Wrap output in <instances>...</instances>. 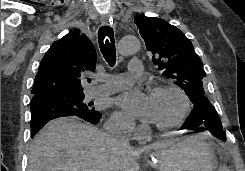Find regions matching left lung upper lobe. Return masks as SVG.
<instances>
[{
	"instance_id": "obj_1",
	"label": "left lung upper lobe",
	"mask_w": 245,
	"mask_h": 171,
	"mask_svg": "<svg viewBox=\"0 0 245 171\" xmlns=\"http://www.w3.org/2000/svg\"><path fill=\"white\" fill-rule=\"evenodd\" d=\"M134 22L162 75L173 80L192 102L205 96L203 63L184 33L160 18L138 15Z\"/></svg>"
}]
</instances>
